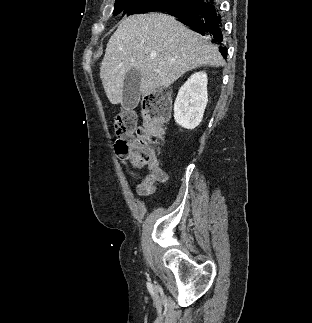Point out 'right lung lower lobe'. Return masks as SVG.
<instances>
[{
	"label": "right lung lower lobe",
	"mask_w": 312,
	"mask_h": 323,
	"mask_svg": "<svg viewBox=\"0 0 312 323\" xmlns=\"http://www.w3.org/2000/svg\"><path fill=\"white\" fill-rule=\"evenodd\" d=\"M220 11L219 4L215 0H190L181 7L167 10L168 14L176 17L178 21L201 35L208 36L226 58V36Z\"/></svg>",
	"instance_id": "obj_1"
}]
</instances>
